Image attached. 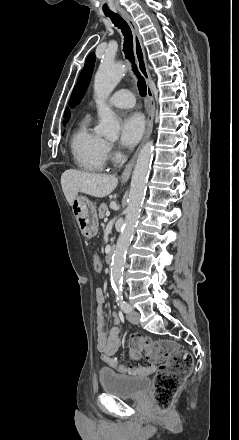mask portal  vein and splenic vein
<instances>
[{
  "label": "portal vein and splenic vein",
  "instance_id": "portal-vein-and-splenic-vein-1",
  "mask_svg": "<svg viewBox=\"0 0 239 440\" xmlns=\"http://www.w3.org/2000/svg\"><path fill=\"white\" fill-rule=\"evenodd\" d=\"M106 216H110V212H106Z\"/></svg>",
  "mask_w": 239,
  "mask_h": 440
}]
</instances>
